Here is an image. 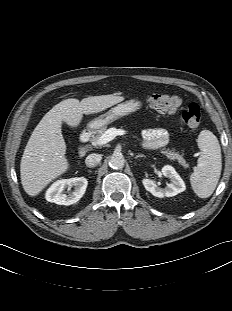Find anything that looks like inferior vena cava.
Here are the masks:
<instances>
[{
    "label": "inferior vena cava",
    "mask_w": 232,
    "mask_h": 311,
    "mask_svg": "<svg viewBox=\"0 0 232 311\" xmlns=\"http://www.w3.org/2000/svg\"><path fill=\"white\" fill-rule=\"evenodd\" d=\"M101 159L100 154H90L85 159L86 166L89 168L95 167L100 163Z\"/></svg>",
    "instance_id": "602c4592"
}]
</instances>
